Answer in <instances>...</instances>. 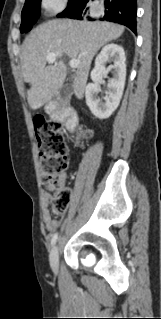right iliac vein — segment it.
<instances>
[{"instance_id":"63e3f726","label":"right iliac vein","mask_w":161,"mask_h":319,"mask_svg":"<svg viewBox=\"0 0 161 319\" xmlns=\"http://www.w3.org/2000/svg\"><path fill=\"white\" fill-rule=\"evenodd\" d=\"M59 248L55 245L50 252V266L54 273L58 272Z\"/></svg>"}]
</instances>
